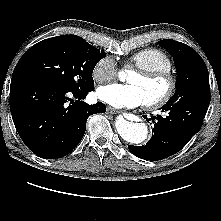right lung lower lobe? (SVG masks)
<instances>
[{
  "label": "right lung lower lobe",
  "instance_id": "obj_1",
  "mask_svg": "<svg viewBox=\"0 0 221 221\" xmlns=\"http://www.w3.org/2000/svg\"><path fill=\"white\" fill-rule=\"evenodd\" d=\"M92 90H71L39 75L14 71L10 110L24 144L47 159L69 154L81 141L87 118L106 111L101 102L88 105L81 101Z\"/></svg>",
  "mask_w": 221,
  "mask_h": 221
}]
</instances>
